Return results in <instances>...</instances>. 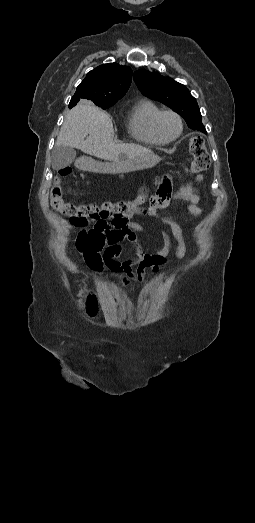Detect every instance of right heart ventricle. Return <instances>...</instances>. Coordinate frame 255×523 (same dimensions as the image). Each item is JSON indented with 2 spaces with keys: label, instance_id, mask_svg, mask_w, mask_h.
Masks as SVG:
<instances>
[{
  "label": "right heart ventricle",
  "instance_id": "right-heart-ventricle-1",
  "mask_svg": "<svg viewBox=\"0 0 255 523\" xmlns=\"http://www.w3.org/2000/svg\"><path fill=\"white\" fill-rule=\"evenodd\" d=\"M162 108L152 99L140 100L134 107L128 122L130 136L146 144L160 145L163 141L154 129V119Z\"/></svg>",
  "mask_w": 255,
  "mask_h": 523
}]
</instances>
